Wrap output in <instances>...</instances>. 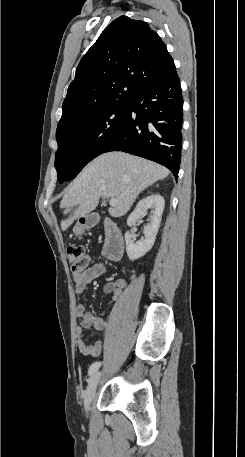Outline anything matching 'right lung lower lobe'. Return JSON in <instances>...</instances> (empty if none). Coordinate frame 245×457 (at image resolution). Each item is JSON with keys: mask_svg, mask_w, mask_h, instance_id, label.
<instances>
[{"mask_svg": "<svg viewBox=\"0 0 245 457\" xmlns=\"http://www.w3.org/2000/svg\"><path fill=\"white\" fill-rule=\"evenodd\" d=\"M183 98L176 70L147 82L130 100L129 113L106 149L160 163L175 178L181 160Z\"/></svg>", "mask_w": 245, "mask_h": 457, "instance_id": "right-lung-lower-lobe-1", "label": "right lung lower lobe"}]
</instances>
